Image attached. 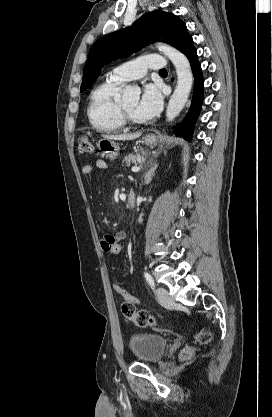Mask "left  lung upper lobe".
I'll return each mask as SVG.
<instances>
[{
  "label": "left lung upper lobe",
  "mask_w": 272,
  "mask_h": 417,
  "mask_svg": "<svg viewBox=\"0 0 272 417\" xmlns=\"http://www.w3.org/2000/svg\"><path fill=\"white\" fill-rule=\"evenodd\" d=\"M154 41L171 44L185 55L194 48L186 25L177 16L164 11L148 12L132 26L102 37L91 47L84 67L81 92L95 82L105 64L127 57Z\"/></svg>",
  "instance_id": "left-lung-upper-lobe-1"
}]
</instances>
